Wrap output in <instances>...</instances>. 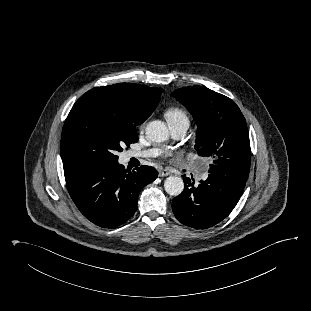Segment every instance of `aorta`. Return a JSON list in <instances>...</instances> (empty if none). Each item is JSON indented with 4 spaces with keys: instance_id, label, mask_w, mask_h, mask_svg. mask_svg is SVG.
Wrapping results in <instances>:
<instances>
[{
    "instance_id": "aorta-1",
    "label": "aorta",
    "mask_w": 311,
    "mask_h": 311,
    "mask_svg": "<svg viewBox=\"0 0 311 311\" xmlns=\"http://www.w3.org/2000/svg\"><path fill=\"white\" fill-rule=\"evenodd\" d=\"M146 136L153 142H163L168 138V129L164 122L154 120L146 126ZM165 191L171 196H178L184 189V182L181 177L169 176L164 183Z\"/></svg>"
}]
</instances>
